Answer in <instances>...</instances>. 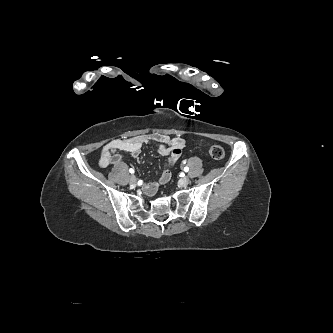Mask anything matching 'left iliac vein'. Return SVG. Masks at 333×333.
I'll return each instance as SVG.
<instances>
[{
  "mask_svg": "<svg viewBox=\"0 0 333 333\" xmlns=\"http://www.w3.org/2000/svg\"><path fill=\"white\" fill-rule=\"evenodd\" d=\"M179 186L181 187H185L189 184V178L187 177H184V178H181L178 182Z\"/></svg>",
  "mask_w": 333,
  "mask_h": 333,
  "instance_id": "1",
  "label": "left iliac vein"
}]
</instances>
